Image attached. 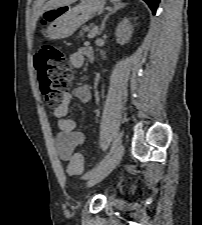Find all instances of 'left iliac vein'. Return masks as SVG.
Listing matches in <instances>:
<instances>
[{
	"instance_id": "obj_1",
	"label": "left iliac vein",
	"mask_w": 202,
	"mask_h": 225,
	"mask_svg": "<svg viewBox=\"0 0 202 225\" xmlns=\"http://www.w3.org/2000/svg\"><path fill=\"white\" fill-rule=\"evenodd\" d=\"M124 154V146L120 144L113 154L111 155L110 160L107 162L105 167L102 169V171L93 179H91L88 183L89 186H93L100 181H102L106 176H108L115 167L119 164Z\"/></svg>"
}]
</instances>
